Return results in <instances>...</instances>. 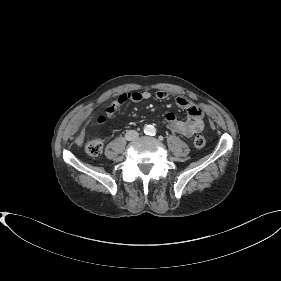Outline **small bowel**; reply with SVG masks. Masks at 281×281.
Segmentation results:
<instances>
[{
    "instance_id": "small-bowel-1",
    "label": "small bowel",
    "mask_w": 281,
    "mask_h": 281,
    "mask_svg": "<svg viewBox=\"0 0 281 281\" xmlns=\"http://www.w3.org/2000/svg\"><path fill=\"white\" fill-rule=\"evenodd\" d=\"M149 91H134L120 94L114 101L106 106V113L109 118H113L116 115L117 110L126 102H141L151 98ZM168 93L163 90H159L155 93V97L160 100H166ZM175 103L180 108L187 111L189 119L186 121L179 120L172 112H168L165 116L167 122V128L185 137H192L195 134L200 133L204 129V112L201 107L194 104L185 97L177 96Z\"/></svg>"
}]
</instances>
